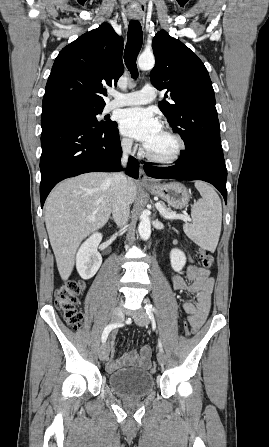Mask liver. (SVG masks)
<instances>
[{
	"label": "liver",
	"mask_w": 269,
	"mask_h": 447,
	"mask_svg": "<svg viewBox=\"0 0 269 447\" xmlns=\"http://www.w3.org/2000/svg\"><path fill=\"white\" fill-rule=\"evenodd\" d=\"M136 194V184L128 178L129 204H133ZM111 210V182L107 174L93 172L69 178L49 194L45 202V224L64 281L71 275L80 241L107 224Z\"/></svg>",
	"instance_id": "obj_1"
}]
</instances>
